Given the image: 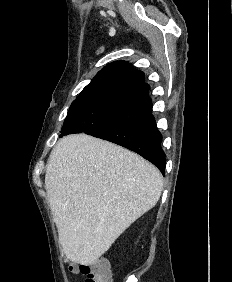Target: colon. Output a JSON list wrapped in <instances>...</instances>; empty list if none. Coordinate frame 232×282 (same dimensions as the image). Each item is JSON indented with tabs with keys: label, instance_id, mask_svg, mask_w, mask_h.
<instances>
[{
	"label": "colon",
	"instance_id": "5ec220e1",
	"mask_svg": "<svg viewBox=\"0 0 232 282\" xmlns=\"http://www.w3.org/2000/svg\"><path fill=\"white\" fill-rule=\"evenodd\" d=\"M70 270L83 274L85 282H113L111 266L105 258L97 259L91 263L72 264Z\"/></svg>",
	"mask_w": 232,
	"mask_h": 282
}]
</instances>
